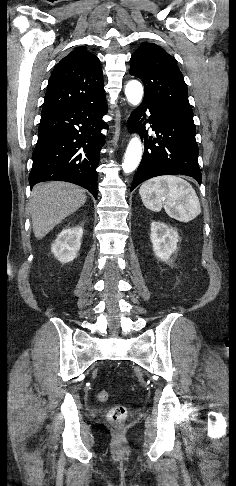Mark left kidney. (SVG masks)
Masks as SVG:
<instances>
[{
  "label": "left kidney",
  "mask_w": 236,
  "mask_h": 486,
  "mask_svg": "<svg viewBox=\"0 0 236 486\" xmlns=\"http://www.w3.org/2000/svg\"><path fill=\"white\" fill-rule=\"evenodd\" d=\"M150 239L157 258L161 261H168L177 250L179 235L177 231L169 228L166 224L153 221Z\"/></svg>",
  "instance_id": "left-kidney-1"
}]
</instances>
